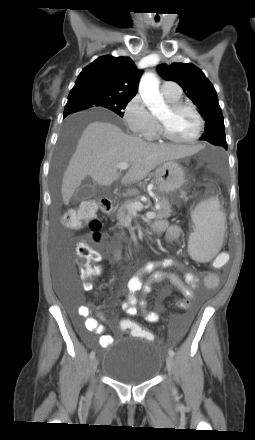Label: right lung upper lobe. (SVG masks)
<instances>
[{
	"instance_id": "obj_1",
	"label": "right lung upper lobe",
	"mask_w": 255,
	"mask_h": 440,
	"mask_svg": "<svg viewBox=\"0 0 255 440\" xmlns=\"http://www.w3.org/2000/svg\"><path fill=\"white\" fill-rule=\"evenodd\" d=\"M141 74L129 57L101 56L81 71L70 93L97 91L133 98Z\"/></svg>"
}]
</instances>
